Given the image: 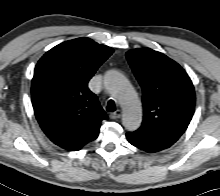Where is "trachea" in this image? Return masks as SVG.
<instances>
[{"label":"trachea","instance_id":"1","mask_svg":"<svg viewBox=\"0 0 220 196\" xmlns=\"http://www.w3.org/2000/svg\"><path fill=\"white\" fill-rule=\"evenodd\" d=\"M106 110L109 112H114L116 110L115 102L113 100L108 101Z\"/></svg>","mask_w":220,"mask_h":196}]
</instances>
